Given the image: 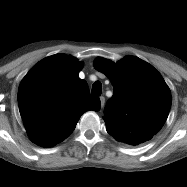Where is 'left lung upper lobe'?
Masks as SVG:
<instances>
[{"mask_svg": "<svg viewBox=\"0 0 187 187\" xmlns=\"http://www.w3.org/2000/svg\"><path fill=\"white\" fill-rule=\"evenodd\" d=\"M94 67L114 88L104 110L107 132L133 146L150 140L164 125L171 107V93L161 74L135 56L117 63L97 57Z\"/></svg>", "mask_w": 187, "mask_h": 187, "instance_id": "1", "label": "left lung upper lobe"}]
</instances>
